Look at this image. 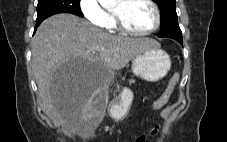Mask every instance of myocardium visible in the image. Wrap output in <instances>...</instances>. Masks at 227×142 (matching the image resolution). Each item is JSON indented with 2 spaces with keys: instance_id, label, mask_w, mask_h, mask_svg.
<instances>
[{
  "instance_id": "f54148a6",
  "label": "myocardium",
  "mask_w": 227,
  "mask_h": 142,
  "mask_svg": "<svg viewBox=\"0 0 227 142\" xmlns=\"http://www.w3.org/2000/svg\"><path fill=\"white\" fill-rule=\"evenodd\" d=\"M122 1L127 2L128 0H122ZM146 1L151 5V7L154 10V14H155L154 25L146 31H136L127 26L122 15L119 12L112 11V16H113L115 25L118 28V30H120L124 33H127L129 35H133V36H148L158 30V28L160 27V24H161L160 8L154 0H146Z\"/></svg>"
}]
</instances>
